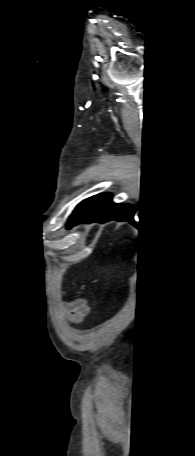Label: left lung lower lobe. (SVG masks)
<instances>
[{"instance_id":"left-lung-lower-lobe-1","label":"left lung lower lobe","mask_w":195,"mask_h":456,"mask_svg":"<svg viewBox=\"0 0 195 456\" xmlns=\"http://www.w3.org/2000/svg\"><path fill=\"white\" fill-rule=\"evenodd\" d=\"M109 194L94 196L70 218L69 227L78 223H105L111 220H132L134 210L128 204H115Z\"/></svg>"}]
</instances>
